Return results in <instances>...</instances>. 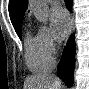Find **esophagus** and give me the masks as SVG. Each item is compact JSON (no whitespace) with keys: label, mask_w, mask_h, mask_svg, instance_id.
Wrapping results in <instances>:
<instances>
[{"label":"esophagus","mask_w":89,"mask_h":89,"mask_svg":"<svg viewBox=\"0 0 89 89\" xmlns=\"http://www.w3.org/2000/svg\"><path fill=\"white\" fill-rule=\"evenodd\" d=\"M67 15H68V21H69L68 36H70L73 31V19L69 12Z\"/></svg>","instance_id":"34e87169"}]
</instances>
